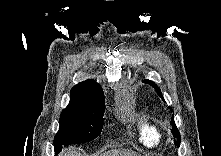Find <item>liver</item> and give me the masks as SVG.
Here are the masks:
<instances>
[{
    "label": "liver",
    "mask_w": 221,
    "mask_h": 156,
    "mask_svg": "<svg viewBox=\"0 0 221 156\" xmlns=\"http://www.w3.org/2000/svg\"><path fill=\"white\" fill-rule=\"evenodd\" d=\"M60 156H82V154L76 151L74 148H68L62 151ZM101 156H140V155L131 150L115 149V150L105 152L101 154Z\"/></svg>",
    "instance_id": "1"
}]
</instances>
